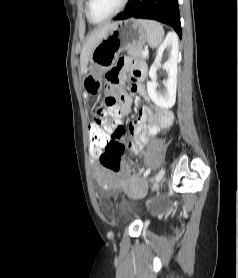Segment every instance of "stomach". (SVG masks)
Returning a JSON list of instances; mask_svg holds the SVG:
<instances>
[{"label":"stomach","mask_w":238,"mask_h":278,"mask_svg":"<svg viewBox=\"0 0 238 278\" xmlns=\"http://www.w3.org/2000/svg\"><path fill=\"white\" fill-rule=\"evenodd\" d=\"M148 38L145 27L139 20L128 19L116 22L107 35L97 43L90 55L93 69L86 72L82 86L87 96H96L103 89L102 75L114 64L117 55L129 46H142Z\"/></svg>","instance_id":"0dacf381"}]
</instances>
